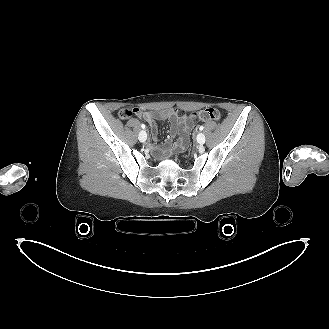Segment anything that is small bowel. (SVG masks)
Returning a JSON list of instances; mask_svg holds the SVG:
<instances>
[{
	"label": "small bowel",
	"mask_w": 329,
	"mask_h": 329,
	"mask_svg": "<svg viewBox=\"0 0 329 329\" xmlns=\"http://www.w3.org/2000/svg\"><path fill=\"white\" fill-rule=\"evenodd\" d=\"M135 113L151 125L154 141L159 140V132L155 121L158 119H167L169 121L170 140L158 148V153L163 156H169L172 152L181 151L186 147L188 135L194 128V119L188 116L185 110H179L176 107L162 111H142L135 109ZM176 137L178 139L173 141Z\"/></svg>",
	"instance_id": "small-bowel-1"
}]
</instances>
